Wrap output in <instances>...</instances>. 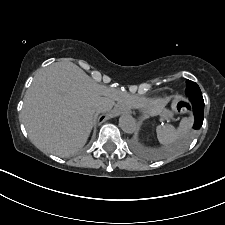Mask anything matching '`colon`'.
Returning a JSON list of instances; mask_svg holds the SVG:
<instances>
[{
  "label": "colon",
  "mask_w": 225,
  "mask_h": 225,
  "mask_svg": "<svg viewBox=\"0 0 225 225\" xmlns=\"http://www.w3.org/2000/svg\"><path fill=\"white\" fill-rule=\"evenodd\" d=\"M191 109V104L180 98H176L173 102V110L178 113H187Z\"/></svg>",
  "instance_id": "1"
}]
</instances>
